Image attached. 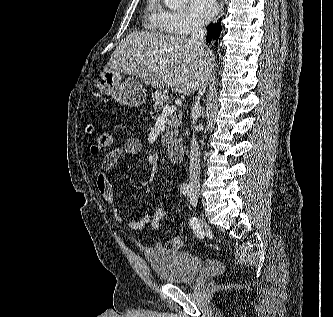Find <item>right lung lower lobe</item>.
Returning a JSON list of instances; mask_svg holds the SVG:
<instances>
[{
  "label": "right lung lower lobe",
  "instance_id": "right-lung-lower-lobe-1",
  "mask_svg": "<svg viewBox=\"0 0 333 317\" xmlns=\"http://www.w3.org/2000/svg\"><path fill=\"white\" fill-rule=\"evenodd\" d=\"M207 30H208V33H207V36H206V40L208 42H211L212 37L217 38L219 36L220 31H221V26H220L219 23H217L215 25L211 24V25L208 26Z\"/></svg>",
  "mask_w": 333,
  "mask_h": 317
}]
</instances>
